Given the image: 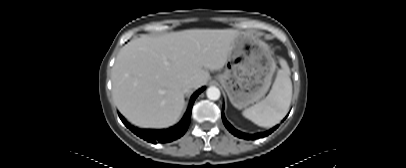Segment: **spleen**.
Wrapping results in <instances>:
<instances>
[{"instance_id":"3e777b00","label":"spleen","mask_w":406,"mask_h":168,"mask_svg":"<svg viewBox=\"0 0 406 168\" xmlns=\"http://www.w3.org/2000/svg\"><path fill=\"white\" fill-rule=\"evenodd\" d=\"M272 89L261 102L243 111V116L260 127L269 128L279 123L288 113L292 98V82L287 61L280 58Z\"/></svg>"}]
</instances>
